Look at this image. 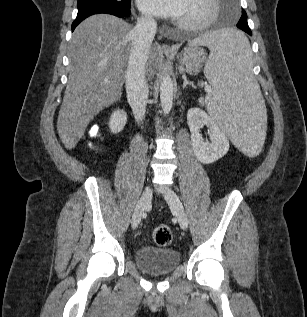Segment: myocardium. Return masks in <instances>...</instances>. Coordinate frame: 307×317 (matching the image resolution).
Instances as JSON below:
<instances>
[{
	"mask_svg": "<svg viewBox=\"0 0 307 317\" xmlns=\"http://www.w3.org/2000/svg\"><path fill=\"white\" fill-rule=\"evenodd\" d=\"M204 2L209 6V13L202 19L197 21H181L178 20L177 25L186 31L194 32L200 31L209 25H211L217 18L219 14V2L218 0H204Z\"/></svg>",
	"mask_w": 307,
	"mask_h": 317,
	"instance_id": "myocardium-1",
	"label": "myocardium"
}]
</instances>
